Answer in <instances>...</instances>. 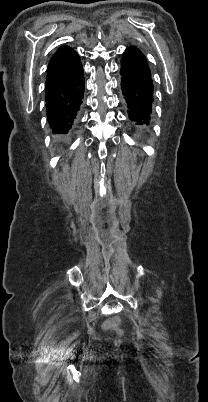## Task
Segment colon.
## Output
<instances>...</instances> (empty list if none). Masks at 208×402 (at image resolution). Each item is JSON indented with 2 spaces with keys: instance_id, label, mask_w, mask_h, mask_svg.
<instances>
[{
  "instance_id": "1",
  "label": "colon",
  "mask_w": 208,
  "mask_h": 402,
  "mask_svg": "<svg viewBox=\"0 0 208 402\" xmlns=\"http://www.w3.org/2000/svg\"><path fill=\"white\" fill-rule=\"evenodd\" d=\"M106 327L105 330L109 331L110 327H118L120 324V321L118 318H107L105 321Z\"/></svg>"
}]
</instances>
